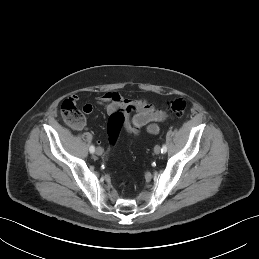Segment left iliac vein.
<instances>
[{"label":"left iliac vein","instance_id":"4c4485c4","mask_svg":"<svg viewBox=\"0 0 259 259\" xmlns=\"http://www.w3.org/2000/svg\"><path fill=\"white\" fill-rule=\"evenodd\" d=\"M160 151H161L160 146H159V145H156V146L154 147V153H155V154H159Z\"/></svg>","mask_w":259,"mask_h":259}]
</instances>
